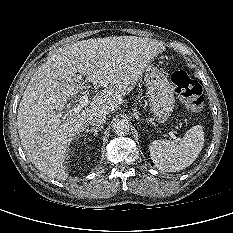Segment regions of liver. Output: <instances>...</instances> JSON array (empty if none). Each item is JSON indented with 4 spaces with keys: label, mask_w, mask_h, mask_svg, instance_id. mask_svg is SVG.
<instances>
[{
    "label": "liver",
    "mask_w": 233,
    "mask_h": 233,
    "mask_svg": "<svg viewBox=\"0 0 233 233\" xmlns=\"http://www.w3.org/2000/svg\"><path fill=\"white\" fill-rule=\"evenodd\" d=\"M163 49L156 40L114 36L78 41L53 53L30 79L18 108V133L30 162L52 179L66 180L67 148L86 130L88 115L117 109ZM76 73L103 90L82 111L64 115L67 100L80 89Z\"/></svg>",
    "instance_id": "1"
}]
</instances>
